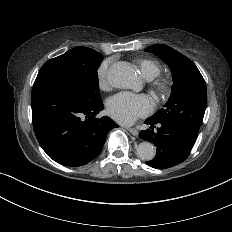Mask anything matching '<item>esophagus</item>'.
Segmentation results:
<instances>
[{"instance_id": "obj_1", "label": "esophagus", "mask_w": 232, "mask_h": 232, "mask_svg": "<svg viewBox=\"0 0 232 232\" xmlns=\"http://www.w3.org/2000/svg\"><path fill=\"white\" fill-rule=\"evenodd\" d=\"M126 130L128 131V132H130L132 135H134V136H137L138 135V131H137V129H135V128H126Z\"/></svg>"}]
</instances>
